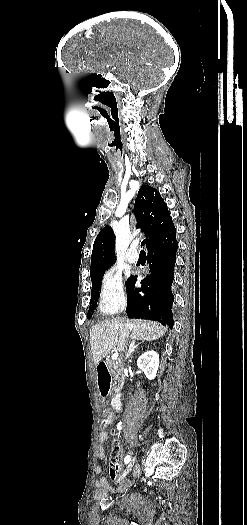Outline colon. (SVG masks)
Returning a JSON list of instances; mask_svg holds the SVG:
<instances>
[{"label":"colon","mask_w":247,"mask_h":525,"mask_svg":"<svg viewBox=\"0 0 247 525\" xmlns=\"http://www.w3.org/2000/svg\"><path fill=\"white\" fill-rule=\"evenodd\" d=\"M99 424H100L101 427L107 428V427L110 426L111 421H110L109 418L103 417V418L100 419Z\"/></svg>","instance_id":"5ec220e1"}]
</instances>
